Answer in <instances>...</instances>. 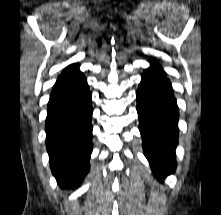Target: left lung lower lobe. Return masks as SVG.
Wrapping results in <instances>:
<instances>
[{"mask_svg": "<svg viewBox=\"0 0 221 215\" xmlns=\"http://www.w3.org/2000/svg\"><path fill=\"white\" fill-rule=\"evenodd\" d=\"M136 95L144 154L160 180L176 169L179 112L171 83L159 64L151 63L144 71Z\"/></svg>", "mask_w": 221, "mask_h": 215, "instance_id": "left-lung-lower-lobe-1", "label": "left lung lower lobe"}]
</instances>
